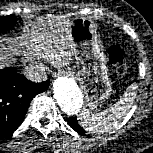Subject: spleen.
Masks as SVG:
<instances>
[{
	"instance_id": "obj_1",
	"label": "spleen",
	"mask_w": 153,
	"mask_h": 153,
	"mask_svg": "<svg viewBox=\"0 0 153 153\" xmlns=\"http://www.w3.org/2000/svg\"><path fill=\"white\" fill-rule=\"evenodd\" d=\"M136 88L135 84L130 85L120 100L107 110L94 114H90L87 109L83 110L79 117L82 127L87 131L97 134L117 127L133 105Z\"/></svg>"
}]
</instances>
